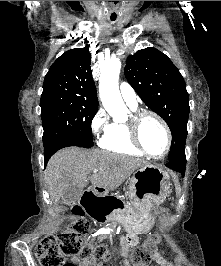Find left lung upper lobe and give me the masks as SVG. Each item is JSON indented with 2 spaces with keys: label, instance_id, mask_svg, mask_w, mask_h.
I'll use <instances>...</instances> for the list:
<instances>
[{
  "label": "left lung upper lobe",
  "instance_id": "obj_1",
  "mask_svg": "<svg viewBox=\"0 0 221 266\" xmlns=\"http://www.w3.org/2000/svg\"><path fill=\"white\" fill-rule=\"evenodd\" d=\"M125 77L145 104L172 132L169 159L185 153L189 96L185 81L171 60L153 47L127 58Z\"/></svg>",
  "mask_w": 221,
  "mask_h": 266
}]
</instances>
